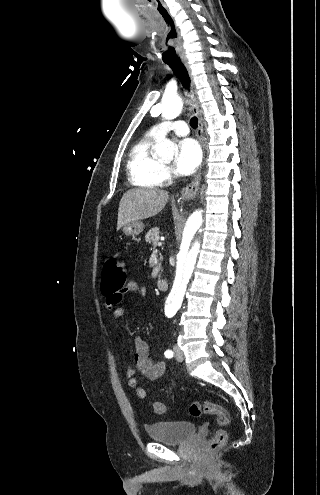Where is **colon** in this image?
Instances as JSON below:
<instances>
[{
	"instance_id": "obj_1",
	"label": "colon",
	"mask_w": 320,
	"mask_h": 495,
	"mask_svg": "<svg viewBox=\"0 0 320 495\" xmlns=\"http://www.w3.org/2000/svg\"><path fill=\"white\" fill-rule=\"evenodd\" d=\"M127 279V270L124 263L117 257H111L106 260L102 271V291L104 294L121 291ZM153 409L156 414H164L165 405L162 402H155ZM189 413L193 417H200L204 414L216 417L217 424L220 427L208 442V450L213 452L222 447L227 440V433L223 429L230 422V416L227 410L219 404L207 401L197 400L190 404Z\"/></svg>"
}]
</instances>
